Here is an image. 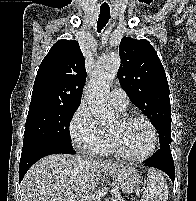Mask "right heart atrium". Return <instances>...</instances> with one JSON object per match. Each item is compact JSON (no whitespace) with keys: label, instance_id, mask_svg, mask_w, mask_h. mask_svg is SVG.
Returning <instances> with one entry per match:
<instances>
[{"label":"right heart atrium","instance_id":"right-heart-atrium-1","mask_svg":"<svg viewBox=\"0 0 196 201\" xmlns=\"http://www.w3.org/2000/svg\"><path fill=\"white\" fill-rule=\"evenodd\" d=\"M69 132L73 145L90 153H100L109 142L108 133L85 105H80L74 112L69 123Z\"/></svg>","mask_w":196,"mask_h":201}]
</instances>
